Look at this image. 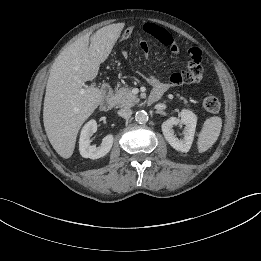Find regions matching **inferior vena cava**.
<instances>
[{
  "label": "inferior vena cava",
  "mask_w": 261,
  "mask_h": 261,
  "mask_svg": "<svg viewBox=\"0 0 261 261\" xmlns=\"http://www.w3.org/2000/svg\"><path fill=\"white\" fill-rule=\"evenodd\" d=\"M118 115L128 119L132 115V110L129 107L118 110Z\"/></svg>",
  "instance_id": "602c4592"
}]
</instances>
